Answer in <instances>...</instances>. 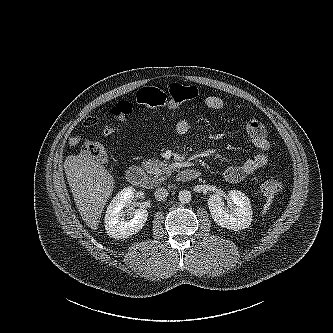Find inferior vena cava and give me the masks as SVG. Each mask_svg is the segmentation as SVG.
<instances>
[{"mask_svg": "<svg viewBox=\"0 0 333 333\" xmlns=\"http://www.w3.org/2000/svg\"><path fill=\"white\" fill-rule=\"evenodd\" d=\"M168 191L165 188L156 189L154 196L158 201L164 200L168 196Z\"/></svg>", "mask_w": 333, "mask_h": 333, "instance_id": "obj_1", "label": "inferior vena cava"}]
</instances>
